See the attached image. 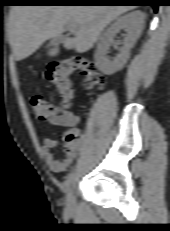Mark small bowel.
Here are the masks:
<instances>
[{"label": "small bowel", "mask_w": 170, "mask_h": 231, "mask_svg": "<svg viewBox=\"0 0 170 231\" xmlns=\"http://www.w3.org/2000/svg\"><path fill=\"white\" fill-rule=\"evenodd\" d=\"M77 115L68 110L59 111L48 123L52 126L74 127L79 123ZM57 146V141L51 137H45L43 140L42 154L49 169L55 173H62L73 163L77 151L81 148V143L77 142L72 146H66L65 154L62 160L54 157L52 149Z\"/></svg>", "instance_id": "1"}]
</instances>
